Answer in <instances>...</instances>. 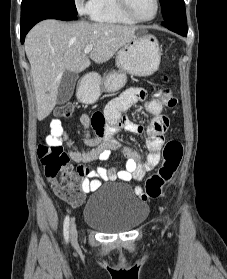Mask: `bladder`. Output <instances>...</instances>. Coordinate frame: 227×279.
<instances>
[{
    "instance_id": "1",
    "label": "bladder",
    "mask_w": 227,
    "mask_h": 279,
    "mask_svg": "<svg viewBox=\"0 0 227 279\" xmlns=\"http://www.w3.org/2000/svg\"><path fill=\"white\" fill-rule=\"evenodd\" d=\"M148 206L127 186H102L88 200L84 223L104 232L128 231L147 217Z\"/></svg>"
}]
</instances>
